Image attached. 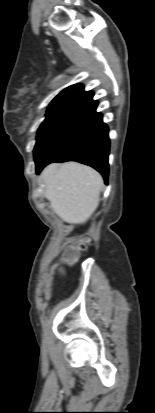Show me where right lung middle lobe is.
<instances>
[{
  "label": "right lung middle lobe",
  "mask_w": 155,
  "mask_h": 413,
  "mask_svg": "<svg viewBox=\"0 0 155 413\" xmlns=\"http://www.w3.org/2000/svg\"><path fill=\"white\" fill-rule=\"evenodd\" d=\"M78 110L77 106L59 109L47 113L37 133L34 148L36 164L42 162L63 136L68 125Z\"/></svg>",
  "instance_id": "right-lung-middle-lobe-1"
}]
</instances>
